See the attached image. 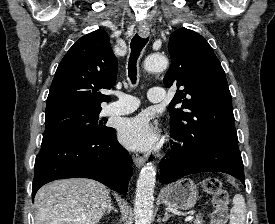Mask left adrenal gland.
<instances>
[{
	"label": "left adrenal gland",
	"instance_id": "a2214340",
	"mask_svg": "<svg viewBox=\"0 0 275 224\" xmlns=\"http://www.w3.org/2000/svg\"><path fill=\"white\" fill-rule=\"evenodd\" d=\"M170 217H172V215H170V214L168 213V210L166 209V210H165V216L163 217L162 221L165 223L166 221H168V219H169Z\"/></svg>",
	"mask_w": 275,
	"mask_h": 224
}]
</instances>
